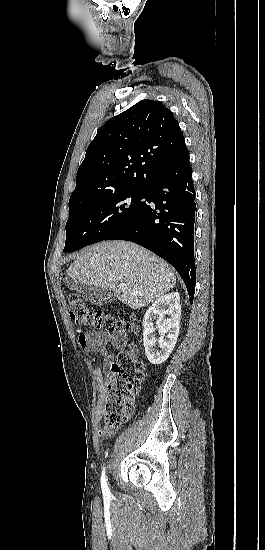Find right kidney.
Instances as JSON below:
<instances>
[{
  "label": "right kidney",
  "mask_w": 265,
  "mask_h": 550,
  "mask_svg": "<svg viewBox=\"0 0 265 550\" xmlns=\"http://www.w3.org/2000/svg\"><path fill=\"white\" fill-rule=\"evenodd\" d=\"M166 314L169 317L165 318ZM180 317L181 304L178 292L159 297L146 311L143 318V341L145 354L151 364H162L171 354L179 334ZM155 320L160 335L158 340L154 337ZM156 342L159 350L154 348Z\"/></svg>",
  "instance_id": "1"
}]
</instances>
